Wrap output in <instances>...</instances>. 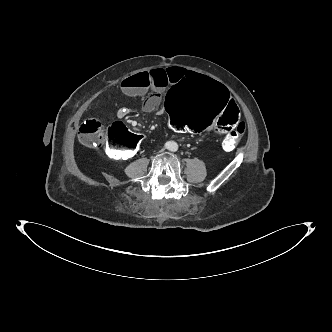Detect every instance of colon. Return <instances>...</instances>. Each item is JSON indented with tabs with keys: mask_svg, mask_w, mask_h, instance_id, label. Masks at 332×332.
I'll use <instances>...</instances> for the list:
<instances>
[{
	"mask_svg": "<svg viewBox=\"0 0 332 332\" xmlns=\"http://www.w3.org/2000/svg\"><path fill=\"white\" fill-rule=\"evenodd\" d=\"M166 116L173 128L183 133L202 136L225 135L224 149L233 150L245 132L240 123L242 109L235 97L217 80L200 73H191L179 80L171 91ZM79 140L83 145H103L107 155L117 160L137 154L142 138L122 124H113L108 131L100 122L89 118L79 128Z\"/></svg>",
	"mask_w": 332,
	"mask_h": 332,
	"instance_id": "1",
	"label": "colon"
}]
</instances>
